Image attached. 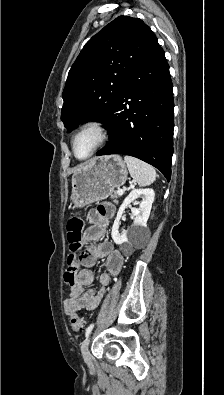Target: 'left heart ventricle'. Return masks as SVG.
<instances>
[{
	"label": "left heart ventricle",
	"instance_id": "left-heart-ventricle-1",
	"mask_svg": "<svg viewBox=\"0 0 224 395\" xmlns=\"http://www.w3.org/2000/svg\"><path fill=\"white\" fill-rule=\"evenodd\" d=\"M97 140L93 131L81 134L75 141V153L77 157L84 158L92 151Z\"/></svg>",
	"mask_w": 224,
	"mask_h": 395
}]
</instances>
